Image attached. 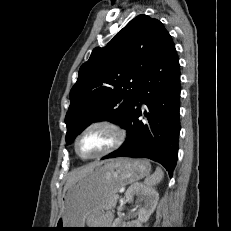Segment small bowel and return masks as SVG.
Listing matches in <instances>:
<instances>
[{
    "instance_id": "small-bowel-1",
    "label": "small bowel",
    "mask_w": 231,
    "mask_h": 231,
    "mask_svg": "<svg viewBox=\"0 0 231 231\" xmlns=\"http://www.w3.org/2000/svg\"><path fill=\"white\" fill-rule=\"evenodd\" d=\"M110 214L109 213H105L103 214V220H109L110 219Z\"/></svg>"
}]
</instances>
